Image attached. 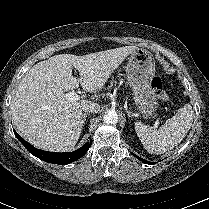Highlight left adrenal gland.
<instances>
[{
    "instance_id": "1",
    "label": "left adrenal gland",
    "mask_w": 209,
    "mask_h": 209,
    "mask_svg": "<svg viewBox=\"0 0 209 209\" xmlns=\"http://www.w3.org/2000/svg\"><path fill=\"white\" fill-rule=\"evenodd\" d=\"M129 117H132V115L129 113Z\"/></svg>"
}]
</instances>
